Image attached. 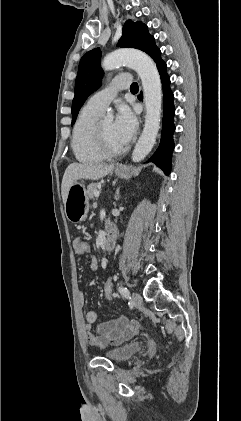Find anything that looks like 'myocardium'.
I'll use <instances>...</instances> for the list:
<instances>
[{
    "instance_id": "1",
    "label": "myocardium",
    "mask_w": 241,
    "mask_h": 421,
    "mask_svg": "<svg viewBox=\"0 0 241 421\" xmlns=\"http://www.w3.org/2000/svg\"><path fill=\"white\" fill-rule=\"evenodd\" d=\"M96 142L99 150L105 157H116L122 155L127 150V146L125 145L118 149L112 148L105 138L101 124H97L96 127Z\"/></svg>"
}]
</instances>
